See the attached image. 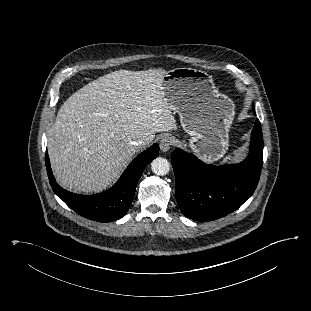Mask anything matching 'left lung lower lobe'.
Instances as JSON below:
<instances>
[{
	"instance_id": "1",
	"label": "left lung lower lobe",
	"mask_w": 311,
	"mask_h": 311,
	"mask_svg": "<svg viewBox=\"0 0 311 311\" xmlns=\"http://www.w3.org/2000/svg\"><path fill=\"white\" fill-rule=\"evenodd\" d=\"M262 157L263 138L258 119L249 155L239 164L207 165L195 155L175 149L171 162L176 200L182 213L195 221H212L238 209L257 187Z\"/></svg>"
}]
</instances>
